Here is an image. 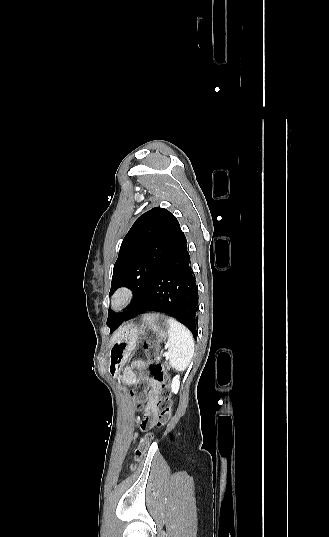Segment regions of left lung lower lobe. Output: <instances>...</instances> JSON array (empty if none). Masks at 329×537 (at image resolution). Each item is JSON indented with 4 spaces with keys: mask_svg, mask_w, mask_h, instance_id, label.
<instances>
[{
    "mask_svg": "<svg viewBox=\"0 0 329 537\" xmlns=\"http://www.w3.org/2000/svg\"><path fill=\"white\" fill-rule=\"evenodd\" d=\"M153 311L177 318L197 337L198 286L190 265L187 242L158 270L125 320Z\"/></svg>",
    "mask_w": 329,
    "mask_h": 537,
    "instance_id": "obj_1",
    "label": "left lung lower lobe"
}]
</instances>
